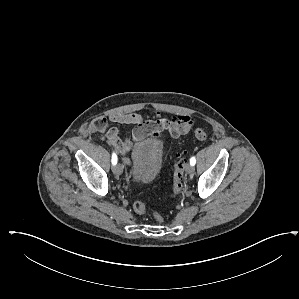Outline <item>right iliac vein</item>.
Returning a JSON list of instances; mask_svg holds the SVG:
<instances>
[{"label":"right iliac vein","instance_id":"obj_1","mask_svg":"<svg viewBox=\"0 0 299 299\" xmlns=\"http://www.w3.org/2000/svg\"><path fill=\"white\" fill-rule=\"evenodd\" d=\"M113 172L115 175L120 176L123 172V168L120 164H117L113 167Z\"/></svg>","mask_w":299,"mask_h":299}]
</instances>
